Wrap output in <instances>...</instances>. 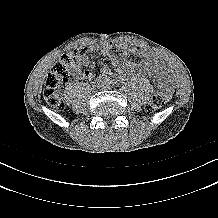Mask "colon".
Listing matches in <instances>:
<instances>
[{
  "instance_id": "5ec220e1",
  "label": "colon",
  "mask_w": 218,
  "mask_h": 218,
  "mask_svg": "<svg viewBox=\"0 0 218 218\" xmlns=\"http://www.w3.org/2000/svg\"><path fill=\"white\" fill-rule=\"evenodd\" d=\"M79 54L80 50H76L69 54L63 55L55 63L50 73L48 74L43 89V96L50 106L57 109L64 108L61 89L69 82L71 76V68ZM165 101V92L163 89H159L147 101L146 110L148 112H155L164 105Z\"/></svg>"
}]
</instances>
